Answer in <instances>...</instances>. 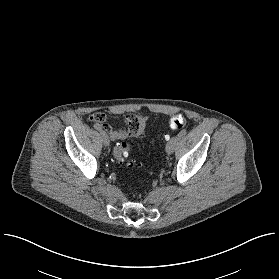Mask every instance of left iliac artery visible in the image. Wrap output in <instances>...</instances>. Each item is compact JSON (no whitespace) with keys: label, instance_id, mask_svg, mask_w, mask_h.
I'll list each match as a JSON object with an SVG mask.
<instances>
[{"label":"left iliac artery","instance_id":"1","mask_svg":"<svg viewBox=\"0 0 279 279\" xmlns=\"http://www.w3.org/2000/svg\"><path fill=\"white\" fill-rule=\"evenodd\" d=\"M186 133H187L186 130H182V131L178 134V137H179V138H182V137H184V136L186 135ZM166 139L169 140V136H167Z\"/></svg>","mask_w":279,"mask_h":279}]
</instances>
